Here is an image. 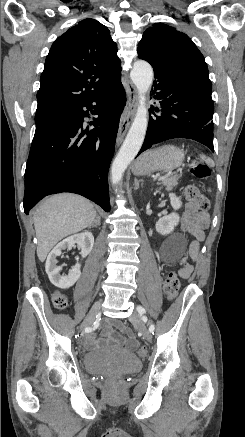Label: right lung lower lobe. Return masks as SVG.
Masks as SVG:
<instances>
[{
    "label": "right lung lower lobe",
    "instance_id": "obj_1",
    "mask_svg": "<svg viewBox=\"0 0 245 437\" xmlns=\"http://www.w3.org/2000/svg\"><path fill=\"white\" fill-rule=\"evenodd\" d=\"M125 104L118 80L97 96L65 103L36 123L25 170L26 214L43 197L60 192L80 194L110 211L107 173ZM92 108L99 115L92 124L100 127L88 133L83 118Z\"/></svg>",
    "mask_w": 245,
    "mask_h": 437
}]
</instances>
